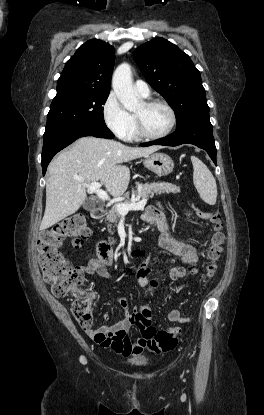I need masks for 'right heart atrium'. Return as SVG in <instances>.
Segmentation results:
<instances>
[{
  "mask_svg": "<svg viewBox=\"0 0 264 415\" xmlns=\"http://www.w3.org/2000/svg\"><path fill=\"white\" fill-rule=\"evenodd\" d=\"M102 113L106 125L117 137L126 139L129 136L134 125L133 117L113 92L107 96Z\"/></svg>",
  "mask_w": 264,
  "mask_h": 415,
  "instance_id": "obj_1",
  "label": "right heart atrium"
}]
</instances>
